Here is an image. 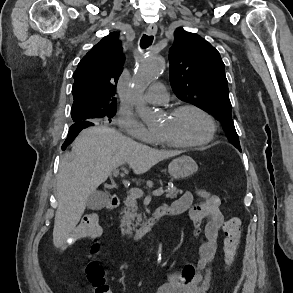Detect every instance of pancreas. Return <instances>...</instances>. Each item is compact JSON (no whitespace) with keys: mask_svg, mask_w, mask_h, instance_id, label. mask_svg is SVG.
Listing matches in <instances>:
<instances>
[{"mask_svg":"<svg viewBox=\"0 0 293 293\" xmlns=\"http://www.w3.org/2000/svg\"><path fill=\"white\" fill-rule=\"evenodd\" d=\"M166 198L174 199L178 194H182V190H178L176 187L168 188L166 191ZM125 208L122 211L121 219V230L122 232L131 235L132 231L135 230L136 233H140L142 230L137 229V226L142 222V216L137 212V200L136 197L129 194L124 201ZM135 222V223H134Z\"/></svg>","mask_w":293,"mask_h":293,"instance_id":"1","label":"pancreas"}]
</instances>
